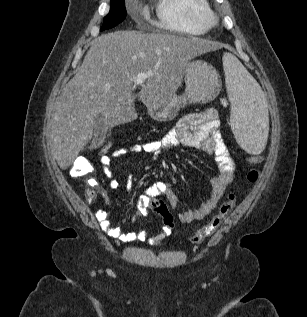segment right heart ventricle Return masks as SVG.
Wrapping results in <instances>:
<instances>
[{"mask_svg": "<svg viewBox=\"0 0 307 317\" xmlns=\"http://www.w3.org/2000/svg\"><path fill=\"white\" fill-rule=\"evenodd\" d=\"M208 10L207 0H156L158 26L179 34H205L208 26L204 15Z\"/></svg>", "mask_w": 307, "mask_h": 317, "instance_id": "right-heart-ventricle-1", "label": "right heart ventricle"}]
</instances>
